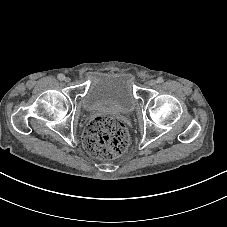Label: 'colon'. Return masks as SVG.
<instances>
[{"label": "colon", "mask_w": 227, "mask_h": 227, "mask_svg": "<svg viewBox=\"0 0 227 227\" xmlns=\"http://www.w3.org/2000/svg\"><path fill=\"white\" fill-rule=\"evenodd\" d=\"M128 140L124 124L108 116L92 119L84 133L87 151L93 156L106 159L122 155L127 149Z\"/></svg>", "instance_id": "colon-1"}]
</instances>
